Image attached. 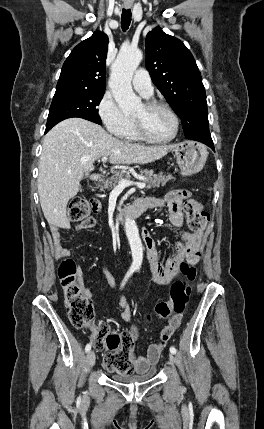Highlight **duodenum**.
Listing matches in <instances>:
<instances>
[{
    "instance_id": "1",
    "label": "duodenum",
    "mask_w": 264,
    "mask_h": 429,
    "mask_svg": "<svg viewBox=\"0 0 264 429\" xmlns=\"http://www.w3.org/2000/svg\"><path fill=\"white\" fill-rule=\"evenodd\" d=\"M90 179L92 181H98L101 179V175L100 174H92ZM148 210V207L146 204L144 203H135L132 206H130L128 209H126L124 212L122 213H118L115 214L113 219L115 222H121L127 218H133V217H139L141 216L144 212H146Z\"/></svg>"
}]
</instances>
